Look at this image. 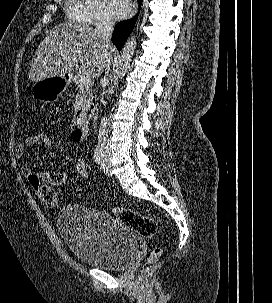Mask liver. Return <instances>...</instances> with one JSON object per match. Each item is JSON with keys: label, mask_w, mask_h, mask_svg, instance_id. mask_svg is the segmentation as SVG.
<instances>
[{"label": "liver", "mask_w": 272, "mask_h": 303, "mask_svg": "<svg viewBox=\"0 0 272 303\" xmlns=\"http://www.w3.org/2000/svg\"><path fill=\"white\" fill-rule=\"evenodd\" d=\"M113 45L103 42L96 28L83 24H59L50 29L38 46L28 77L37 82L64 77L78 65L82 75L98 77L105 70L107 54Z\"/></svg>", "instance_id": "liver-1"}]
</instances>
